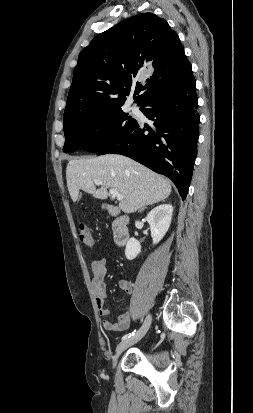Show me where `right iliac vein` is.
I'll return each mask as SVG.
<instances>
[{"label": "right iliac vein", "mask_w": 253, "mask_h": 413, "mask_svg": "<svg viewBox=\"0 0 253 413\" xmlns=\"http://www.w3.org/2000/svg\"><path fill=\"white\" fill-rule=\"evenodd\" d=\"M152 322V317L151 315H148L143 323V325L140 327V329L130 338L122 341L116 348L115 355L113 356V366L116 365L117 359L120 356V354L126 350L128 347L134 345L137 343L139 340H141L144 335L147 333L150 325Z\"/></svg>", "instance_id": "1"}]
</instances>
